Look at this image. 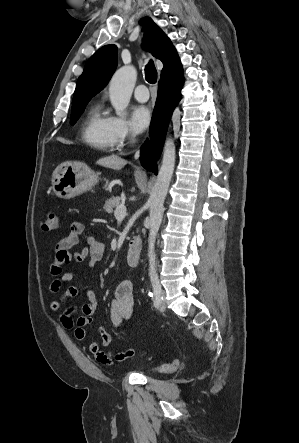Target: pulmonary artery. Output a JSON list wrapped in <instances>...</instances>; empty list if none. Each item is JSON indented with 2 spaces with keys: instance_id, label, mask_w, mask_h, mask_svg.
I'll list each match as a JSON object with an SVG mask.
<instances>
[{
  "instance_id": "1",
  "label": "pulmonary artery",
  "mask_w": 299,
  "mask_h": 443,
  "mask_svg": "<svg viewBox=\"0 0 299 443\" xmlns=\"http://www.w3.org/2000/svg\"><path fill=\"white\" fill-rule=\"evenodd\" d=\"M134 97L139 102H146L149 99V92L144 84H139L134 90Z\"/></svg>"
}]
</instances>
